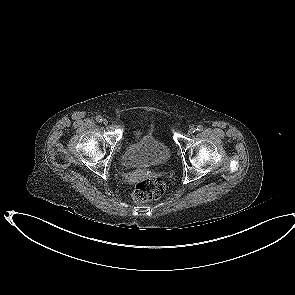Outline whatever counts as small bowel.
<instances>
[{"instance_id":"c3829d8e","label":"small bowel","mask_w":295,"mask_h":295,"mask_svg":"<svg viewBox=\"0 0 295 295\" xmlns=\"http://www.w3.org/2000/svg\"><path fill=\"white\" fill-rule=\"evenodd\" d=\"M139 132H135V136L139 137ZM153 177V172L151 170H138L127 172L124 175V180L126 182L137 181L138 179H151Z\"/></svg>"}]
</instances>
